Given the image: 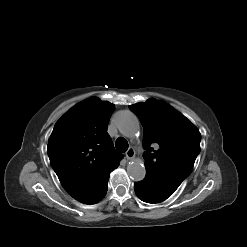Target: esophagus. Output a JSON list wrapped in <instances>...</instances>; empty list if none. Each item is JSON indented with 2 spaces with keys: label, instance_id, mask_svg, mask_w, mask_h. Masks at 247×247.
<instances>
[{
  "label": "esophagus",
  "instance_id": "1",
  "mask_svg": "<svg viewBox=\"0 0 247 247\" xmlns=\"http://www.w3.org/2000/svg\"><path fill=\"white\" fill-rule=\"evenodd\" d=\"M126 158L128 160H131L135 157V150L133 148H129L127 151H126Z\"/></svg>",
  "mask_w": 247,
  "mask_h": 247
}]
</instances>
